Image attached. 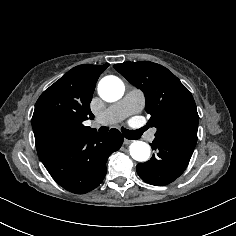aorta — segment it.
Segmentation results:
<instances>
[{
    "mask_svg": "<svg viewBox=\"0 0 236 236\" xmlns=\"http://www.w3.org/2000/svg\"><path fill=\"white\" fill-rule=\"evenodd\" d=\"M124 91L123 82L116 76H106L98 84L99 96L107 102L119 100L123 96ZM129 152L134 160L144 162L150 158L151 149L145 142L134 141L129 147Z\"/></svg>",
    "mask_w": 236,
    "mask_h": 236,
    "instance_id": "1",
    "label": "aorta"
}]
</instances>
